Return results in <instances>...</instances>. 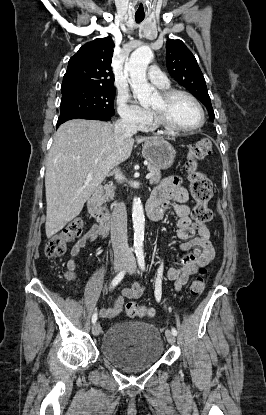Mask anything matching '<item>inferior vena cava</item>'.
<instances>
[{
  "label": "inferior vena cava",
  "instance_id": "1",
  "mask_svg": "<svg viewBox=\"0 0 266 415\" xmlns=\"http://www.w3.org/2000/svg\"><path fill=\"white\" fill-rule=\"evenodd\" d=\"M115 141L121 145L123 140L137 133V125L130 117H122L114 124ZM117 182L123 180L118 168L113 170ZM111 242L115 257L131 258L133 256L127 242V211L123 202H115L111 215Z\"/></svg>",
  "mask_w": 266,
  "mask_h": 415
}]
</instances>
